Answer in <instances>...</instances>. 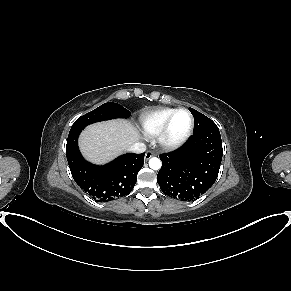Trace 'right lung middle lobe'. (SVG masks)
Segmentation results:
<instances>
[{"label": "right lung middle lobe", "instance_id": "1", "mask_svg": "<svg viewBox=\"0 0 291 291\" xmlns=\"http://www.w3.org/2000/svg\"><path fill=\"white\" fill-rule=\"evenodd\" d=\"M131 113L121 105L113 102L104 103L93 111L79 117L72 125L71 130L84 128L85 126L109 119L129 118Z\"/></svg>", "mask_w": 291, "mask_h": 291}]
</instances>
